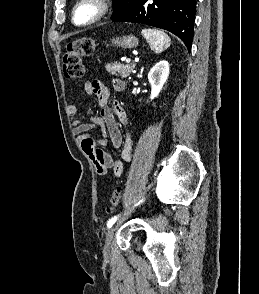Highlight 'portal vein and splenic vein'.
Returning <instances> with one entry per match:
<instances>
[{"label": "portal vein and splenic vein", "mask_w": 259, "mask_h": 294, "mask_svg": "<svg viewBox=\"0 0 259 294\" xmlns=\"http://www.w3.org/2000/svg\"><path fill=\"white\" fill-rule=\"evenodd\" d=\"M130 62H131L130 58L126 59V63H130Z\"/></svg>", "instance_id": "18ae733b"}]
</instances>
